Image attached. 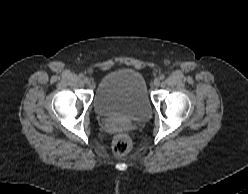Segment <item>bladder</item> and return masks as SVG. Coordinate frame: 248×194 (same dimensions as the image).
I'll return each mask as SVG.
<instances>
[{
    "label": "bladder",
    "instance_id": "1",
    "mask_svg": "<svg viewBox=\"0 0 248 194\" xmlns=\"http://www.w3.org/2000/svg\"><path fill=\"white\" fill-rule=\"evenodd\" d=\"M101 116H119L144 121L151 114V101L144 76L132 69H118L99 81L93 100Z\"/></svg>",
    "mask_w": 248,
    "mask_h": 194
}]
</instances>
